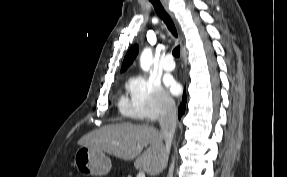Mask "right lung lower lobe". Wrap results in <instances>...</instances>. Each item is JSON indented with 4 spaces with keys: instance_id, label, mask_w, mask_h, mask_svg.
Returning a JSON list of instances; mask_svg holds the SVG:
<instances>
[{
    "instance_id": "right-lung-lower-lobe-1",
    "label": "right lung lower lobe",
    "mask_w": 287,
    "mask_h": 177,
    "mask_svg": "<svg viewBox=\"0 0 287 177\" xmlns=\"http://www.w3.org/2000/svg\"><path fill=\"white\" fill-rule=\"evenodd\" d=\"M185 105H186V95L184 93V96H183V102L182 104L180 105L179 107V110H178V117L180 118L184 112H185Z\"/></svg>"
}]
</instances>
